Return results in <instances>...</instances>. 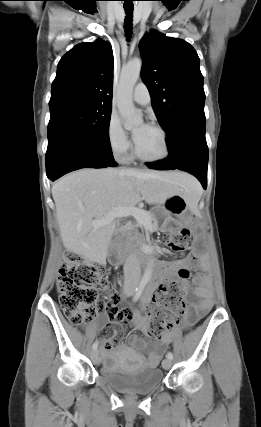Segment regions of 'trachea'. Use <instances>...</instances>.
Returning a JSON list of instances; mask_svg holds the SVG:
<instances>
[{"mask_svg":"<svg viewBox=\"0 0 261 427\" xmlns=\"http://www.w3.org/2000/svg\"><path fill=\"white\" fill-rule=\"evenodd\" d=\"M124 9L126 11V19H125V32H126V36L128 38H130V35L132 33V12L134 9V5L132 2L130 3H124Z\"/></svg>","mask_w":261,"mask_h":427,"instance_id":"trachea-1","label":"trachea"}]
</instances>
